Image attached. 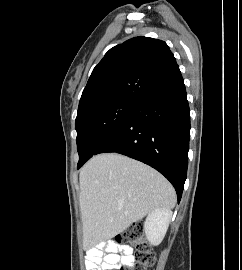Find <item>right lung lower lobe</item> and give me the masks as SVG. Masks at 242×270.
<instances>
[{"instance_id":"98d812e1","label":"right lung lower lobe","mask_w":242,"mask_h":270,"mask_svg":"<svg viewBox=\"0 0 242 270\" xmlns=\"http://www.w3.org/2000/svg\"><path fill=\"white\" fill-rule=\"evenodd\" d=\"M189 133L190 110L179 74L137 101L94 155L116 152L150 165L171 182L179 202L187 177Z\"/></svg>"}]
</instances>
